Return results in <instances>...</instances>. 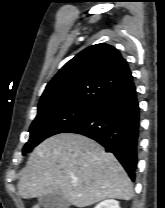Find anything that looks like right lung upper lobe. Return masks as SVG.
I'll return each mask as SVG.
<instances>
[{
    "label": "right lung upper lobe",
    "mask_w": 165,
    "mask_h": 208,
    "mask_svg": "<svg viewBox=\"0 0 165 208\" xmlns=\"http://www.w3.org/2000/svg\"><path fill=\"white\" fill-rule=\"evenodd\" d=\"M131 81L127 61L116 48L92 45L60 69L46 86L38 108L63 102L97 103Z\"/></svg>",
    "instance_id": "1"
}]
</instances>
